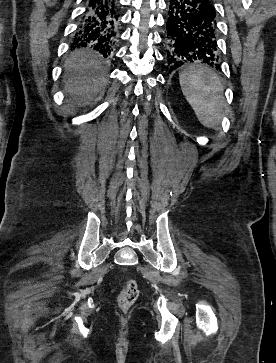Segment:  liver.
<instances>
[{
  "mask_svg": "<svg viewBox=\"0 0 276 363\" xmlns=\"http://www.w3.org/2000/svg\"><path fill=\"white\" fill-rule=\"evenodd\" d=\"M68 72L65 90L73 95L78 105L92 100L103 87L105 68L99 57L89 50H75L64 64Z\"/></svg>",
  "mask_w": 276,
  "mask_h": 363,
  "instance_id": "6515ba94",
  "label": "liver"
}]
</instances>
